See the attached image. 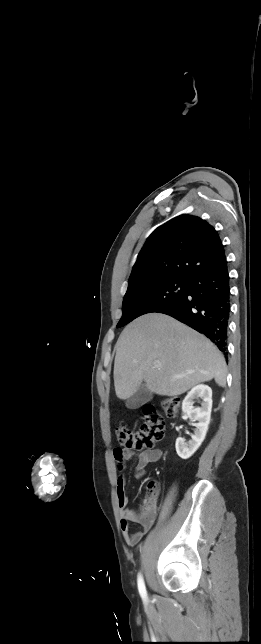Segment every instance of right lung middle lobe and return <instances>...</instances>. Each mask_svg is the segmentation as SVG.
<instances>
[{"label": "right lung middle lobe", "mask_w": 261, "mask_h": 644, "mask_svg": "<svg viewBox=\"0 0 261 644\" xmlns=\"http://www.w3.org/2000/svg\"><path fill=\"white\" fill-rule=\"evenodd\" d=\"M188 279L168 278L144 283L127 290L117 324L122 327L133 319L151 312H158L177 303L186 293Z\"/></svg>", "instance_id": "right-lung-middle-lobe-1"}]
</instances>
